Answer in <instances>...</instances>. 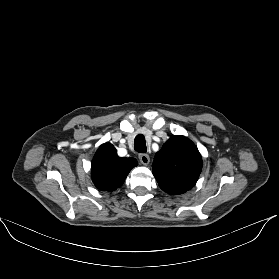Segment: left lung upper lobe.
Returning a JSON list of instances; mask_svg holds the SVG:
<instances>
[{
	"label": "left lung upper lobe",
	"instance_id": "obj_1",
	"mask_svg": "<svg viewBox=\"0 0 279 279\" xmlns=\"http://www.w3.org/2000/svg\"><path fill=\"white\" fill-rule=\"evenodd\" d=\"M152 168L160 188L170 195H179L196 184L202 158L191 140L173 135L156 153Z\"/></svg>",
	"mask_w": 279,
	"mask_h": 279
}]
</instances>
